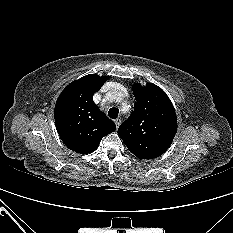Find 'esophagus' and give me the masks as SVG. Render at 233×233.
<instances>
[{
	"label": "esophagus",
	"instance_id": "34e87169",
	"mask_svg": "<svg viewBox=\"0 0 233 233\" xmlns=\"http://www.w3.org/2000/svg\"><path fill=\"white\" fill-rule=\"evenodd\" d=\"M115 124H116V127L118 128L121 124V118L115 119Z\"/></svg>",
	"mask_w": 233,
	"mask_h": 233
}]
</instances>
